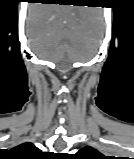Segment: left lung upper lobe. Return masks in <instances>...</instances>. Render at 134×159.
I'll return each instance as SVG.
<instances>
[{
  "label": "left lung upper lobe",
  "mask_w": 134,
  "mask_h": 159,
  "mask_svg": "<svg viewBox=\"0 0 134 159\" xmlns=\"http://www.w3.org/2000/svg\"><path fill=\"white\" fill-rule=\"evenodd\" d=\"M71 159H107L96 149L86 146L79 150L75 155L71 156Z\"/></svg>",
  "instance_id": "obj_1"
}]
</instances>
